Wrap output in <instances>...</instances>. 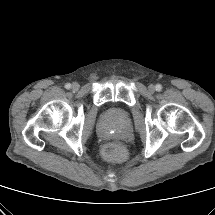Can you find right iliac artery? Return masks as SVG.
<instances>
[{"label":"right iliac artery","instance_id":"82829eb1","mask_svg":"<svg viewBox=\"0 0 215 215\" xmlns=\"http://www.w3.org/2000/svg\"><path fill=\"white\" fill-rule=\"evenodd\" d=\"M65 88H66V89H70V88H71V84H70V83H67V84L65 85Z\"/></svg>","mask_w":215,"mask_h":215}]
</instances>
